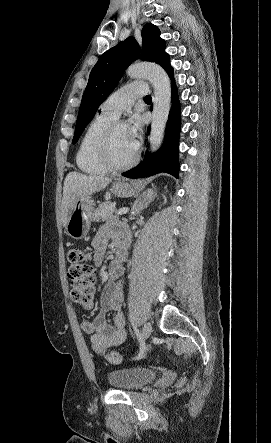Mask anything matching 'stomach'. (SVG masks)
I'll use <instances>...</instances> for the list:
<instances>
[{
	"instance_id": "1",
	"label": "stomach",
	"mask_w": 271,
	"mask_h": 443,
	"mask_svg": "<svg viewBox=\"0 0 271 443\" xmlns=\"http://www.w3.org/2000/svg\"><path fill=\"white\" fill-rule=\"evenodd\" d=\"M135 182H114L112 192L118 198H130L136 192ZM93 212V202L89 196H80L77 202L69 212V218L66 225L68 235L74 239H83L90 229L91 214Z\"/></svg>"
}]
</instances>
